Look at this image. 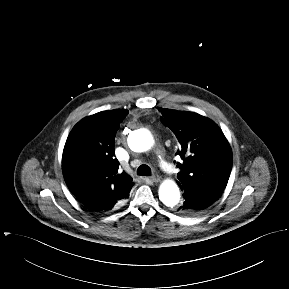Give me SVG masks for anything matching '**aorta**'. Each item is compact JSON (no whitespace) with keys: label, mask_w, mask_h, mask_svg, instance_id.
<instances>
[{"label":"aorta","mask_w":289,"mask_h":289,"mask_svg":"<svg viewBox=\"0 0 289 289\" xmlns=\"http://www.w3.org/2000/svg\"><path fill=\"white\" fill-rule=\"evenodd\" d=\"M154 140L148 130L132 133L128 138V145L132 151L144 152L153 146ZM159 199L167 207H174L180 201L178 185L173 180H165L159 188Z\"/></svg>","instance_id":"762f6f07"}]
</instances>
